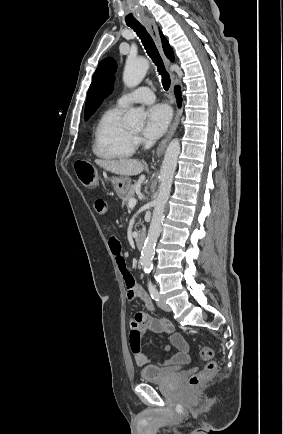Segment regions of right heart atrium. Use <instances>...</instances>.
Returning <instances> with one entry per match:
<instances>
[{
  "label": "right heart atrium",
  "mask_w": 283,
  "mask_h": 434,
  "mask_svg": "<svg viewBox=\"0 0 283 434\" xmlns=\"http://www.w3.org/2000/svg\"><path fill=\"white\" fill-rule=\"evenodd\" d=\"M135 142H136V143H140V142H141V139H140L139 137H135Z\"/></svg>",
  "instance_id": "obj_1"
}]
</instances>
